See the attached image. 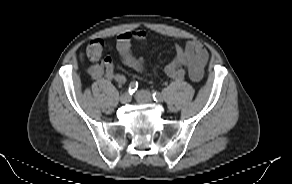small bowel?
I'll return each instance as SVG.
<instances>
[{
  "label": "small bowel",
  "instance_id": "c3829d8e",
  "mask_svg": "<svg viewBox=\"0 0 292 184\" xmlns=\"http://www.w3.org/2000/svg\"><path fill=\"white\" fill-rule=\"evenodd\" d=\"M147 34L143 30L123 32L116 39V49L122 61L129 67L144 71L146 63L143 58L138 57L132 51V42L145 41ZM177 60L165 67V73L174 79H181L186 74V69L193 81H199L203 77L204 68L208 61L206 48L197 41H189L184 46H177ZM89 74L97 81H116L124 83V74L116 73L111 58L98 59L90 67Z\"/></svg>",
  "mask_w": 292,
  "mask_h": 184
}]
</instances>
